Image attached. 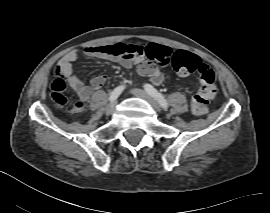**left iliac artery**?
Segmentation results:
<instances>
[{
    "mask_svg": "<svg viewBox=\"0 0 270 213\" xmlns=\"http://www.w3.org/2000/svg\"><path fill=\"white\" fill-rule=\"evenodd\" d=\"M144 89L148 94H150L159 102V104L162 106L163 109L166 110L168 108V102L165 99V97L160 92H158V90L155 89L152 85L145 84Z\"/></svg>",
    "mask_w": 270,
    "mask_h": 213,
    "instance_id": "1",
    "label": "left iliac artery"
}]
</instances>
